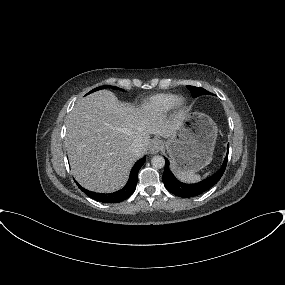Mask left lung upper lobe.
<instances>
[{"label": "left lung upper lobe", "instance_id": "left-lung-upper-lobe-1", "mask_svg": "<svg viewBox=\"0 0 285 285\" xmlns=\"http://www.w3.org/2000/svg\"><path fill=\"white\" fill-rule=\"evenodd\" d=\"M187 88L190 90L192 97H198L200 95H206V94L213 95L212 93L200 87L187 86Z\"/></svg>", "mask_w": 285, "mask_h": 285}]
</instances>
